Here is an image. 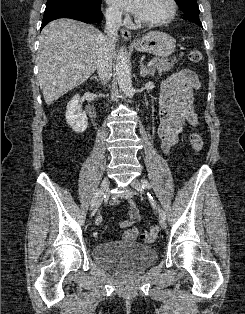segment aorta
Masks as SVG:
<instances>
[{"label": "aorta", "instance_id": "762f6f07", "mask_svg": "<svg viewBox=\"0 0 245 314\" xmlns=\"http://www.w3.org/2000/svg\"><path fill=\"white\" fill-rule=\"evenodd\" d=\"M116 77L120 89L129 97H132L135 90L131 80V64L126 51L121 48L116 61Z\"/></svg>", "mask_w": 245, "mask_h": 314}]
</instances>
